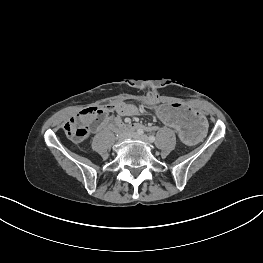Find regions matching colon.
Returning a JSON list of instances; mask_svg holds the SVG:
<instances>
[{"mask_svg": "<svg viewBox=\"0 0 263 263\" xmlns=\"http://www.w3.org/2000/svg\"><path fill=\"white\" fill-rule=\"evenodd\" d=\"M150 99H153V96H150ZM112 109L113 105H106L100 109L92 108L82 111L64 124L65 134L74 142L83 141L88 135L89 129L95 127L97 121Z\"/></svg>", "mask_w": 263, "mask_h": 263, "instance_id": "1", "label": "colon"}]
</instances>
